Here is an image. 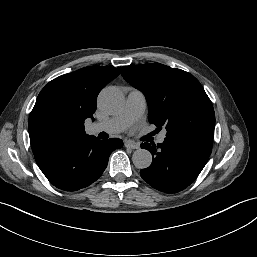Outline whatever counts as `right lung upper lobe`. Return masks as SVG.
<instances>
[{
	"mask_svg": "<svg viewBox=\"0 0 257 257\" xmlns=\"http://www.w3.org/2000/svg\"><path fill=\"white\" fill-rule=\"evenodd\" d=\"M119 74L120 68L91 66L50 81L39 93L29 116L34 156L89 137L84 121L93 119L98 93Z\"/></svg>",
	"mask_w": 257,
	"mask_h": 257,
	"instance_id": "right-lung-upper-lobe-1",
	"label": "right lung upper lobe"
}]
</instances>
